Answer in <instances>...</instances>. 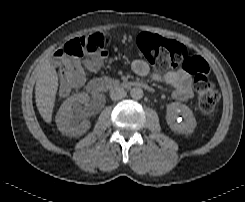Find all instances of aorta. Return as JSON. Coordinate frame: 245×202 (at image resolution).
Returning a JSON list of instances; mask_svg holds the SVG:
<instances>
[{
	"label": "aorta",
	"mask_w": 245,
	"mask_h": 202,
	"mask_svg": "<svg viewBox=\"0 0 245 202\" xmlns=\"http://www.w3.org/2000/svg\"><path fill=\"white\" fill-rule=\"evenodd\" d=\"M143 90L139 87H134L130 91V96L135 100H140L143 97Z\"/></svg>",
	"instance_id": "762f6f07"
}]
</instances>
